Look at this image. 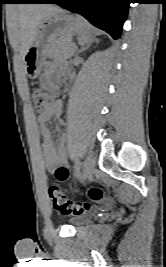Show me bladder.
<instances>
[{
  "label": "bladder",
  "mask_w": 166,
  "mask_h": 267,
  "mask_svg": "<svg viewBox=\"0 0 166 267\" xmlns=\"http://www.w3.org/2000/svg\"><path fill=\"white\" fill-rule=\"evenodd\" d=\"M95 215L93 213H83L77 215L69 220V222L74 226H80L89 222Z\"/></svg>",
  "instance_id": "31cf9c89"
}]
</instances>
